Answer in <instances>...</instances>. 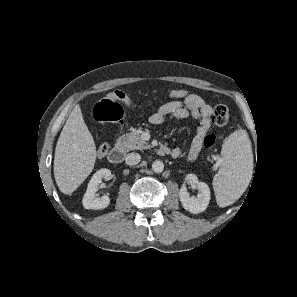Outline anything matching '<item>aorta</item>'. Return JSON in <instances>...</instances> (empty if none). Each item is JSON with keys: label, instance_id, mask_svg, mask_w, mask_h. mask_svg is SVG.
<instances>
[{"label": "aorta", "instance_id": "762f6f07", "mask_svg": "<svg viewBox=\"0 0 297 297\" xmlns=\"http://www.w3.org/2000/svg\"><path fill=\"white\" fill-rule=\"evenodd\" d=\"M152 170L155 173H161L164 170V163L160 160H156L152 163Z\"/></svg>", "mask_w": 297, "mask_h": 297}]
</instances>
